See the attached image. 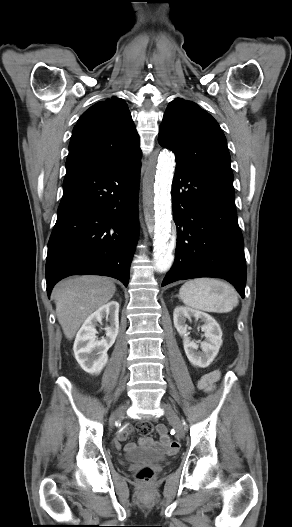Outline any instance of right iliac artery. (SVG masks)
I'll return each instance as SVG.
<instances>
[{
    "label": "right iliac artery",
    "mask_w": 292,
    "mask_h": 527,
    "mask_svg": "<svg viewBox=\"0 0 292 527\" xmlns=\"http://www.w3.org/2000/svg\"><path fill=\"white\" fill-rule=\"evenodd\" d=\"M122 429H125V424H122Z\"/></svg>",
    "instance_id": "obj_1"
}]
</instances>
